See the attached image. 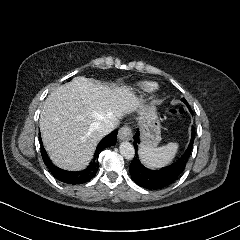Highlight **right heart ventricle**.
<instances>
[{
    "instance_id": "e07e8e85",
    "label": "right heart ventricle",
    "mask_w": 240,
    "mask_h": 240,
    "mask_svg": "<svg viewBox=\"0 0 240 240\" xmlns=\"http://www.w3.org/2000/svg\"><path fill=\"white\" fill-rule=\"evenodd\" d=\"M156 88V85L149 82L139 83L136 85L135 92L136 93H145L150 92Z\"/></svg>"
}]
</instances>
